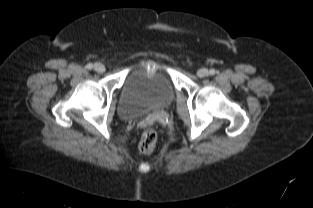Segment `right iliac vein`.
Wrapping results in <instances>:
<instances>
[{
    "label": "right iliac vein",
    "mask_w": 313,
    "mask_h": 208,
    "mask_svg": "<svg viewBox=\"0 0 313 208\" xmlns=\"http://www.w3.org/2000/svg\"><path fill=\"white\" fill-rule=\"evenodd\" d=\"M94 70L98 73H103L105 71V66L102 63H95Z\"/></svg>",
    "instance_id": "right-iliac-vein-1"
}]
</instances>
